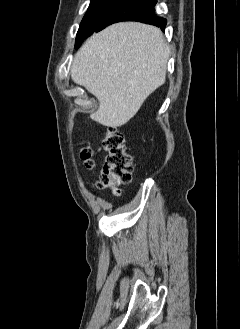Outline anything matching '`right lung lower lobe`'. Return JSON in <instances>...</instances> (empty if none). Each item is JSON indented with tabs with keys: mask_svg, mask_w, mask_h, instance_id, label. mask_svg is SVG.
Instances as JSON below:
<instances>
[{
	"mask_svg": "<svg viewBox=\"0 0 240 329\" xmlns=\"http://www.w3.org/2000/svg\"><path fill=\"white\" fill-rule=\"evenodd\" d=\"M156 3V0H120L100 21L94 32L120 21H139L164 30L167 21L155 16L154 7Z\"/></svg>",
	"mask_w": 240,
	"mask_h": 329,
	"instance_id": "98d812e1",
	"label": "right lung lower lobe"
}]
</instances>
